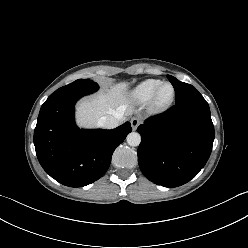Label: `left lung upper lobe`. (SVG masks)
<instances>
[{"label": "left lung upper lobe", "instance_id": "5c2ea615", "mask_svg": "<svg viewBox=\"0 0 248 248\" xmlns=\"http://www.w3.org/2000/svg\"><path fill=\"white\" fill-rule=\"evenodd\" d=\"M169 81L173 85L176 93V103H181L187 100L202 98V95L190 84L179 81L173 76L167 75Z\"/></svg>", "mask_w": 248, "mask_h": 248}]
</instances>
